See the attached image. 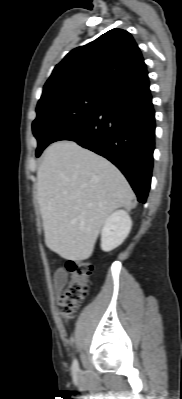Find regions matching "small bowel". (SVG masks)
Listing matches in <instances>:
<instances>
[{"instance_id": "1", "label": "small bowel", "mask_w": 182, "mask_h": 399, "mask_svg": "<svg viewBox=\"0 0 182 399\" xmlns=\"http://www.w3.org/2000/svg\"><path fill=\"white\" fill-rule=\"evenodd\" d=\"M68 280V273L65 269L59 268L53 274V287L56 294H60Z\"/></svg>"}]
</instances>
